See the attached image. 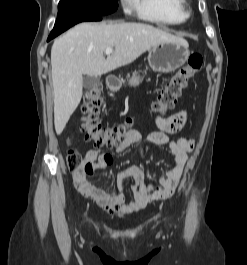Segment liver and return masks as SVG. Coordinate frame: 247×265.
<instances>
[{"mask_svg":"<svg viewBox=\"0 0 247 265\" xmlns=\"http://www.w3.org/2000/svg\"><path fill=\"white\" fill-rule=\"evenodd\" d=\"M171 41L184 40L147 24L124 22L81 23L57 38L51 49L56 133H62L81 101L84 74L101 76ZM106 48H114L107 58Z\"/></svg>","mask_w":247,"mask_h":265,"instance_id":"1","label":"liver"}]
</instances>
